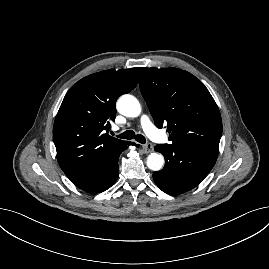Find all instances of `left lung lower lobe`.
I'll return each instance as SVG.
<instances>
[{
	"label": "left lung lower lobe",
	"mask_w": 269,
	"mask_h": 269,
	"mask_svg": "<svg viewBox=\"0 0 269 269\" xmlns=\"http://www.w3.org/2000/svg\"><path fill=\"white\" fill-rule=\"evenodd\" d=\"M155 150L163 154L166 163L161 171L153 173V179L162 191L173 196L200 184L218 156L216 150L190 145L161 144Z\"/></svg>",
	"instance_id": "left-lung-lower-lobe-1"
}]
</instances>
